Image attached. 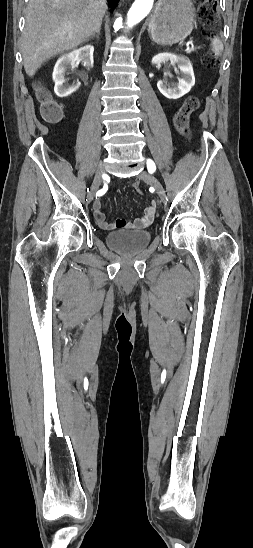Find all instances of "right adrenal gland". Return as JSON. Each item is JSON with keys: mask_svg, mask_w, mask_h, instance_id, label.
<instances>
[{"mask_svg": "<svg viewBox=\"0 0 253 548\" xmlns=\"http://www.w3.org/2000/svg\"><path fill=\"white\" fill-rule=\"evenodd\" d=\"M99 36H100V29H99L95 34H93V35L90 37V39H93L94 37H96L97 40H99Z\"/></svg>", "mask_w": 253, "mask_h": 548, "instance_id": "obj_1", "label": "right adrenal gland"}]
</instances>
